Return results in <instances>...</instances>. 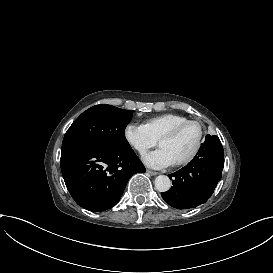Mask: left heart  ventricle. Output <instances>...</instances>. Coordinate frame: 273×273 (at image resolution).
Masks as SVG:
<instances>
[{"label":"left heart ventricle","mask_w":273,"mask_h":273,"mask_svg":"<svg viewBox=\"0 0 273 273\" xmlns=\"http://www.w3.org/2000/svg\"><path fill=\"white\" fill-rule=\"evenodd\" d=\"M198 135V126L191 125L175 137L161 140L160 146L165 148L174 162L177 163L185 159L192 152Z\"/></svg>","instance_id":"b2bd125f"}]
</instances>
